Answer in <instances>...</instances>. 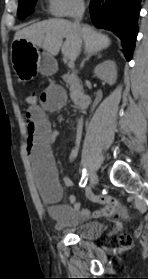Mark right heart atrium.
<instances>
[{
  "mask_svg": "<svg viewBox=\"0 0 148 279\" xmlns=\"http://www.w3.org/2000/svg\"><path fill=\"white\" fill-rule=\"evenodd\" d=\"M83 0H48V11L56 17H73L83 11Z\"/></svg>",
  "mask_w": 148,
  "mask_h": 279,
  "instance_id": "obj_1",
  "label": "right heart atrium"
}]
</instances>
